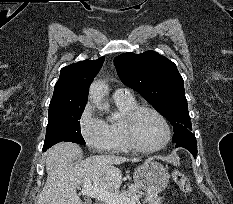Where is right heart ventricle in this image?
<instances>
[{
	"instance_id": "obj_1",
	"label": "right heart ventricle",
	"mask_w": 233,
	"mask_h": 204,
	"mask_svg": "<svg viewBox=\"0 0 233 204\" xmlns=\"http://www.w3.org/2000/svg\"><path fill=\"white\" fill-rule=\"evenodd\" d=\"M115 107L118 112V117L116 119H108L105 122L106 131L108 134V146L111 151H127L129 147L127 146L124 136L122 133L121 120L122 117L130 111L132 108L137 106V103L133 97L130 98H118L113 99Z\"/></svg>"
}]
</instances>
